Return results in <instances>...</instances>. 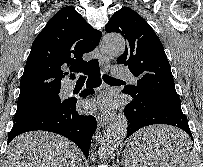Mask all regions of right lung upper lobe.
<instances>
[{"label": "right lung upper lobe", "instance_id": "cb5924a9", "mask_svg": "<svg viewBox=\"0 0 203 167\" xmlns=\"http://www.w3.org/2000/svg\"><path fill=\"white\" fill-rule=\"evenodd\" d=\"M101 35L73 7L59 10L32 44L20 81L17 106L59 93L61 79L66 74L64 68L72 72L95 68L97 60L86 62L82 56L97 46Z\"/></svg>", "mask_w": 203, "mask_h": 167}]
</instances>
